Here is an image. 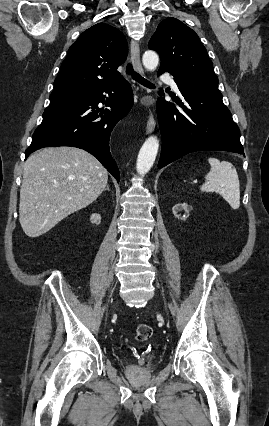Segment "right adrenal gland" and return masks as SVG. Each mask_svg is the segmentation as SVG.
I'll return each instance as SVG.
<instances>
[{"label":"right adrenal gland","mask_w":269,"mask_h":426,"mask_svg":"<svg viewBox=\"0 0 269 426\" xmlns=\"http://www.w3.org/2000/svg\"><path fill=\"white\" fill-rule=\"evenodd\" d=\"M106 190L110 191L109 186L107 185Z\"/></svg>","instance_id":"right-adrenal-gland-1"}]
</instances>
